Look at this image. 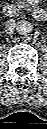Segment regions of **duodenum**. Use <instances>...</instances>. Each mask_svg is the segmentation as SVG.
<instances>
[{"label":"duodenum","instance_id":"duodenum-1","mask_svg":"<svg viewBox=\"0 0 47 129\" xmlns=\"http://www.w3.org/2000/svg\"><path fill=\"white\" fill-rule=\"evenodd\" d=\"M3 10H4L5 15L8 17H17L21 13V10L12 3H7L4 6ZM34 15L37 19H40V20L46 17L45 11L39 7L34 9Z\"/></svg>","mask_w":47,"mask_h":129}]
</instances>
